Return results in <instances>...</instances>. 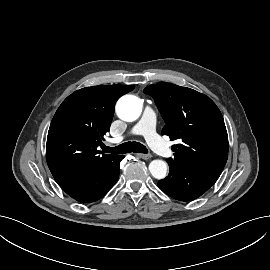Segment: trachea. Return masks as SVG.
<instances>
[{
    "instance_id": "obj_1",
    "label": "trachea",
    "mask_w": 270,
    "mask_h": 270,
    "mask_svg": "<svg viewBox=\"0 0 270 270\" xmlns=\"http://www.w3.org/2000/svg\"><path fill=\"white\" fill-rule=\"evenodd\" d=\"M105 151L107 153H115V154H126L130 152L144 153V154L148 153L147 148L143 144L135 141L126 142L114 148L106 147Z\"/></svg>"
}]
</instances>
